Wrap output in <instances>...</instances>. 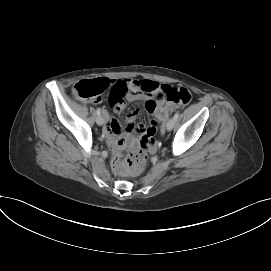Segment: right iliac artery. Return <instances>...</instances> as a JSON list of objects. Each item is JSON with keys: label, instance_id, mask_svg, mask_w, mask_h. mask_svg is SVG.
I'll return each mask as SVG.
<instances>
[{"label": "right iliac artery", "instance_id": "82829eb1", "mask_svg": "<svg viewBox=\"0 0 271 271\" xmlns=\"http://www.w3.org/2000/svg\"><path fill=\"white\" fill-rule=\"evenodd\" d=\"M96 113H97L98 116L101 115L100 109H97V110H96Z\"/></svg>", "mask_w": 271, "mask_h": 271}]
</instances>
